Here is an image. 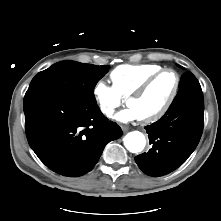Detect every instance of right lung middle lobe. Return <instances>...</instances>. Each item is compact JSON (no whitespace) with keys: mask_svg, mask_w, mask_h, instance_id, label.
I'll return each instance as SVG.
<instances>
[{"mask_svg":"<svg viewBox=\"0 0 221 221\" xmlns=\"http://www.w3.org/2000/svg\"><path fill=\"white\" fill-rule=\"evenodd\" d=\"M108 70L109 65L61 61L39 72L32 79L25 97L50 95L80 104L96 105L94 87Z\"/></svg>","mask_w":221,"mask_h":221,"instance_id":"right-lung-middle-lobe-1","label":"right lung middle lobe"}]
</instances>
